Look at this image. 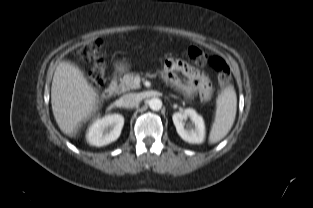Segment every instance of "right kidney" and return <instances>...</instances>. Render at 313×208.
I'll return each instance as SVG.
<instances>
[{
	"instance_id": "right-kidney-1",
	"label": "right kidney",
	"mask_w": 313,
	"mask_h": 208,
	"mask_svg": "<svg viewBox=\"0 0 313 208\" xmlns=\"http://www.w3.org/2000/svg\"><path fill=\"white\" fill-rule=\"evenodd\" d=\"M123 125L122 115H106L93 122L87 133V140L91 145L98 147L108 145L119 138Z\"/></svg>"
}]
</instances>
